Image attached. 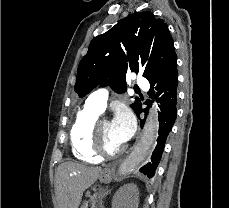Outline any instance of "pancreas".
Returning a JSON list of instances; mask_svg holds the SVG:
<instances>
[{"label": "pancreas", "mask_w": 229, "mask_h": 208, "mask_svg": "<svg viewBox=\"0 0 229 208\" xmlns=\"http://www.w3.org/2000/svg\"><path fill=\"white\" fill-rule=\"evenodd\" d=\"M91 202V204H90ZM90 202H86V204H84V206H81V208H103V206H101L102 202H99V200H97V198H95V200H90ZM97 202H99V206H95V204H97ZM88 204H90V206H88Z\"/></svg>", "instance_id": "1"}]
</instances>
